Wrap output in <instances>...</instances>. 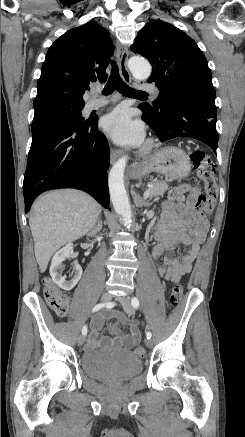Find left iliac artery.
I'll list each match as a JSON object with an SVG mask.
<instances>
[{"label":"left iliac artery","mask_w":245,"mask_h":437,"mask_svg":"<svg viewBox=\"0 0 245 437\" xmlns=\"http://www.w3.org/2000/svg\"><path fill=\"white\" fill-rule=\"evenodd\" d=\"M131 304H132V306H133L135 309H138V308H139V300H138V298H137V297H132V299H131ZM151 336H152L151 332H149V331L146 332V337H147L148 339H150Z\"/></svg>","instance_id":"left-iliac-artery-1"}]
</instances>
